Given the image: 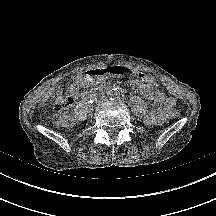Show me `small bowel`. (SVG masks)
Returning <instances> with one entry per match:
<instances>
[{"instance_id":"c3829d8e","label":"small bowel","mask_w":216,"mask_h":216,"mask_svg":"<svg viewBox=\"0 0 216 216\" xmlns=\"http://www.w3.org/2000/svg\"><path fill=\"white\" fill-rule=\"evenodd\" d=\"M130 83L134 90L156 104L146 117L147 124H160L174 106L175 100L161 92L157 88V81L151 76L139 74ZM69 90L73 96H77L78 89L75 86H70Z\"/></svg>"}]
</instances>
